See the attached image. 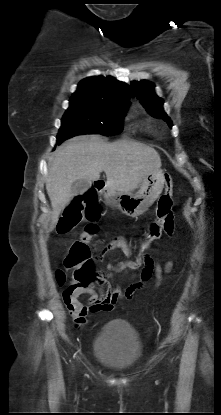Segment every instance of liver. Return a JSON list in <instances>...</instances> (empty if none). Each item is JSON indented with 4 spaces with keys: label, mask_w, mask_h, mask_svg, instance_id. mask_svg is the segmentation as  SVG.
Instances as JSON below:
<instances>
[{
    "label": "liver",
    "mask_w": 221,
    "mask_h": 415,
    "mask_svg": "<svg viewBox=\"0 0 221 415\" xmlns=\"http://www.w3.org/2000/svg\"><path fill=\"white\" fill-rule=\"evenodd\" d=\"M160 167L158 152L142 143L124 139L107 143L98 135L68 140L58 149L48 168L46 190L52 206L50 230L72 200V184L76 180L94 181L104 171L107 189L128 194L141 185L147 174Z\"/></svg>",
    "instance_id": "1"
}]
</instances>
